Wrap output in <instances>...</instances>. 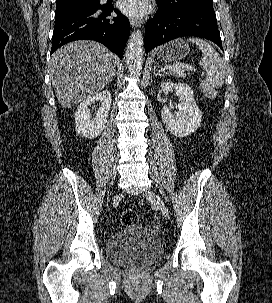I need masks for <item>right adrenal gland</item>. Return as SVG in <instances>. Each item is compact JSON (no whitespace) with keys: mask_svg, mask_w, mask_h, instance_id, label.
Masks as SVG:
<instances>
[{"mask_svg":"<svg viewBox=\"0 0 272 303\" xmlns=\"http://www.w3.org/2000/svg\"><path fill=\"white\" fill-rule=\"evenodd\" d=\"M113 78H115V74H114ZM113 78L110 80V82H112V81H113Z\"/></svg>","mask_w":272,"mask_h":303,"instance_id":"1","label":"right adrenal gland"}]
</instances>
